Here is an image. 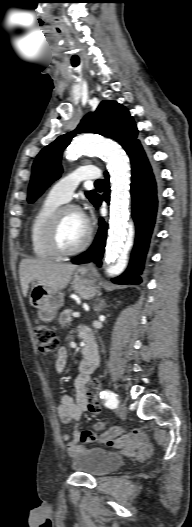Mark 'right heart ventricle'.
I'll list each match as a JSON object with an SVG mask.
<instances>
[{
    "instance_id": "obj_1",
    "label": "right heart ventricle",
    "mask_w": 192,
    "mask_h": 527,
    "mask_svg": "<svg viewBox=\"0 0 192 527\" xmlns=\"http://www.w3.org/2000/svg\"><path fill=\"white\" fill-rule=\"evenodd\" d=\"M62 203L48 195L31 219L29 227L30 247L33 255L37 258L49 259L55 256L46 246L45 230L51 216Z\"/></svg>"
}]
</instances>
